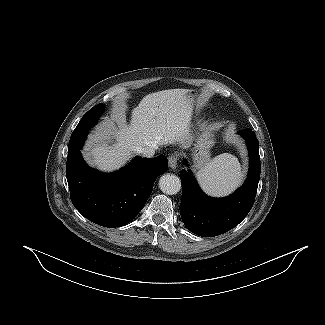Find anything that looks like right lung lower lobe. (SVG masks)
Instances as JSON below:
<instances>
[{
	"label": "right lung lower lobe",
	"mask_w": 325,
	"mask_h": 325,
	"mask_svg": "<svg viewBox=\"0 0 325 325\" xmlns=\"http://www.w3.org/2000/svg\"><path fill=\"white\" fill-rule=\"evenodd\" d=\"M88 130L73 132L66 166L70 197L88 220L104 227L129 223L144 207L156 178L168 169L164 156L136 157L121 170L104 174L84 162L80 150Z\"/></svg>",
	"instance_id": "obj_1"
}]
</instances>
